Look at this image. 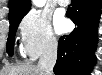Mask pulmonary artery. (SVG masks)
<instances>
[{"mask_svg":"<svg viewBox=\"0 0 102 75\" xmlns=\"http://www.w3.org/2000/svg\"><path fill=\"white\" fill-rule=\"evenodd\" d=\"M58 2H59L60 4H66L67 1H66V0H59Z\"/></svg>","mask_w":102,"mask_h":75,"instance_id":"obj_1","label":"pulmonary artery"}]
</instances>
